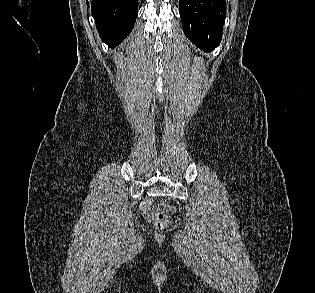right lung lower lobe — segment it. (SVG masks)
<instances>
[{"mask_svg": "<svg viewBox=\"0 0 315 293\" xmlns=\"http://www.w3.org/2000/svg\"><path fill=\"white\" fill-rule=\"evenodd\" d=\"M138 0H92L91 10L102 40L116 47L130 34L138 15Z\"/></svg>", "mask_w": 315, "mask_h": 293, "instance_id": "obj_1", "label": "right lung lower lobe"}]
</instances>
